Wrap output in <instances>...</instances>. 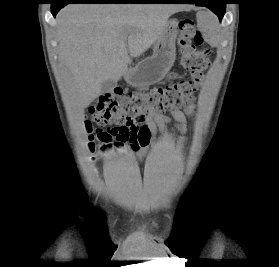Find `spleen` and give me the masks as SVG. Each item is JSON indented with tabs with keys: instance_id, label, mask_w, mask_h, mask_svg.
<instances>
[{
	"instance_id": "3e777b00",
	"label": "spleen",
	"mask_w": 279,
	"mask_h": 267,
	"mask_svg": "<svg viewBox=\"0 0 279 267\" xmlns=\"http://www.w3.org/2000/svg\"><path fill=\"white\" fill-rule=\"evenodd\" d=\"M198 26L203 31L205 37L211 45H217L218 37V24L210 12H201L198 14Z\"/></svg>"
}]
</instances>
